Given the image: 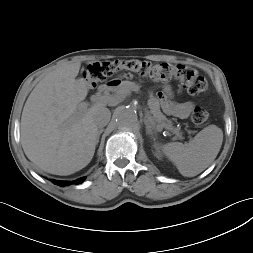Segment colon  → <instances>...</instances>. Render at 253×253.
<instances>
[{"label": "colon", "instance_id": "5ec220e1", "mask_svg": "<svg viewBox=\"0 0 253 253\" xmlns=\"http://www.w3.org/2000/svg\"><path fill=\"white\" fill-rule=\"evenodd\" d=\"M124 70L158 81L179 80L191 95L201 94L208 88L206 78L191 67L170 63H152L137 59L93 63L87 67L85 77L91 85H96ZM207 119L208 113L204 108L197 106L193 109L191 120L195 125H201Z\"/></svg>", "mask_w": 253, "mask_h": 253}]
</instances>
